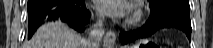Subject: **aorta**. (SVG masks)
Instances as JSON below:
<instances>
[{"mask_svg": "<svg viewBox=\"0 0 213 48\" xmlns=\"http://www.w3.org/2000/svg\"><path fill=\"white\" fill-rule=\"evenodd\" d=\"M112 46H113V45L111 44V42H109V43H108V48H112Z\"/></svg>", "mask_w": 213, "mask_h": 48, "instance_id": "obj_1", "label": "aorta"}]
</instances>
